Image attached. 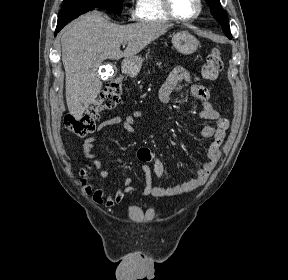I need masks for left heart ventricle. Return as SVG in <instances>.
<instances>
[{"label": "left heart ventricle", "mask_w": 288, "mask_h": 280, "mask_svg": "<svg viewBox=\"0 0 288 280\" xmlns=\"http://www.w3.org/2000/svg\"><path fill=\"white\" fill-rule=\"evenodd\" d=\"M175 14L181 18H189L197 11V0H171Z\"/></svg>", "instance_id": "1"}]
</instances>
